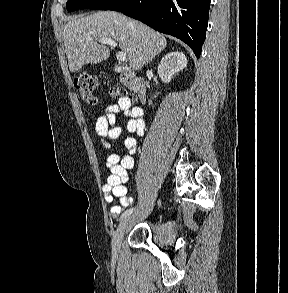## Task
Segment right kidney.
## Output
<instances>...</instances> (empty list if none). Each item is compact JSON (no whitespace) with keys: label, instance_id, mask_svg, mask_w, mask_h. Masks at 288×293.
Listing matches in <instances>:
<instances>
[{"label":"right kidney","instance_id":"obj_1","mask_svg":"<svg viewBox=\"0 0 288 293\" xmlns=\"http://www.w3.org/2000/svg\"><path fill=\"white\" fill-rule=\"evenodd\" d=\"M187 66V59L182 52L166 54L158 66V75L164 83H169L173 76Z\"/></svg>","mask_w":288,"mask_h":293}]
</instances>
